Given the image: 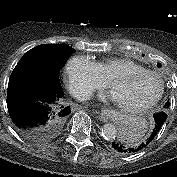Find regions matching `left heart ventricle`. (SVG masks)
<instances>
[{
	"label": "left heart ventricle",
	"instance_id": "b2bd125f",
	"mask_svg": "<svg viewBox=\"0 0 177 177\" xmlns=\"http://www.w3.org/2000/svg\"><path fill=\"white\" fill-rule=\"evenodd\" d=\"M159 90V82L152 76H139L123 80L112 89L115 101L136 106L151 100Z\"/></svg>",
	"mask_w": 177,
	"mask_h": 177
}]
</instances>
